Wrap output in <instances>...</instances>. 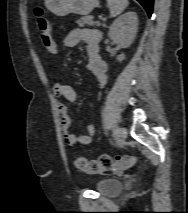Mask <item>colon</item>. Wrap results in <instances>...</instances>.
I'll list each match as a JSON object with an SVG mask.
<instances>
[{
  "label": "colon",
  "instance_id": "1",
  "mask_svg": "<svg viewBox=\"0 0 188 213\" xmlns=\"http://www.w3.org/2000/svg\"><path fill=\"white\" fill-rule=\"evenodd\" d=\"M34 14L39 28V37L44 48L50 52H56V44L53 40L51 28L48 19L45 16L42 7L37 6ZM136 163L134 156H109L103 155L97 160L88 161L84 158H76L75 167L88 174H98L112 170H125L133 167Z\"/></svg>",
  "mask_w": 188,
  "mask_h": 213
}]
</instances>
